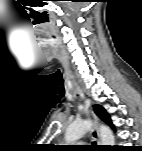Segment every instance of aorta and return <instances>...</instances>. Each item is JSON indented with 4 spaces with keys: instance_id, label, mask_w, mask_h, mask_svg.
<instances>
[{
    "instance_id": "762f6f07",
    "label": "aorta",
    "mask_w": 142,
    "mask_h": 151,
    "mask_svg": "<svg viewBox=\"0 0 142 151\" xmlns=\"http://www.w3.org/2000/svg\"><path fill=\"white\" fill-rule=\"evenodd\" d=\"M93 126L91 120L75 121L70 124L65 132V141L67 143H73L82 138ZM99 134L101 139V145L115 146V137L113 132L108 126L100 125Z\"/></svg>"
}]
</instances>
